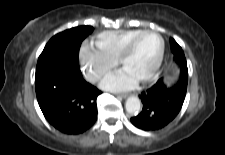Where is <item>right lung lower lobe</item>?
Wrapping results in <instances>:
<instances>
[{
	"label": "right lung lower lobe",
	"mask_w": 225,
	"mask_h": 155,
	"mask_svg": "<svg viewBox=\"0 0 225 155\" xmlns=\"http://www.w3.org/2000/svg\"><path fill=\"white\" fill-rule=\"evenodd\" d=\"M35 89L43 115L59 131L79 134L95 123L96 99L102 92L83 79L79 64L56 67Z\"/></svg>",
	"instance_id": "obj_1"
}]
</instances>
